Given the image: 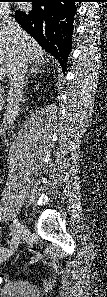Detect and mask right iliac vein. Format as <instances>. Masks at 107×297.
I'll use <instances>...</instances> for the list:
<instances>
[{
	"instance_id": "right-iliac-vein-1",
	"label": "right iliac vein",
	"mask_w": 107,
	"mask_h": 297,
	"mask_svg": "<svg viewBox=\"0 0 107 297\" xmlns=\"http://www.w3.org/2000/svg\"><path fill=\"white\" fill-rule=\"evenodd\" d=\"M16 229L20 232V233H24L27 231L26 227L24 226L22 221H17L15 224ZM15 251V247H11L9 249H7L6 251H4L1 255H0V261L3 262L5 260H7L8 258H10V256H12V254Z\"/></svg>"
}]
</instances>
